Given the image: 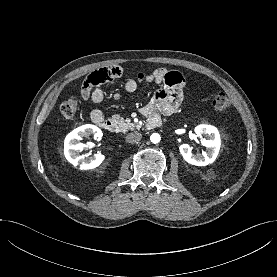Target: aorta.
Listing matches in <instances>:
<instances>
[{
    "label": "aorta",
    "instance_id": "762f6f07",
    "mask_svg": "<svg viewBox=\"0 0 277 277\" xmlns=\"http://www.w3.org/2000/svg\"><path fill=\"white\" fill-rule=\"evenodd\" d=\"M150 140L152 143L156 144V143H159L160 140H161V137L158 133H153L151 136H150Z\"/></svg>",
    "mask_w": 277,
    "mask_h": 277
}]
</instances>
